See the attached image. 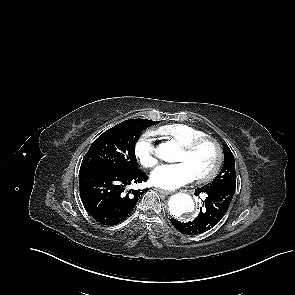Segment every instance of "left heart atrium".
Listing matches in <instances>:
<instances>
[{"mask_svg": "<svg viewBox=\"0 0 295 295\" xmlns=\"http://www.w3.org/2000/svg\"><path fill=\"white\" fill-rule=\"evenodd\" d=\"M196 175L185 162L161 165L151 174V182L161 188L176 189L192 182Z\"/></svg>", "mask_w": 295, "mask_h": 295, "instance_id": "39dd6f15", "label": "left heart atrium"}]
</instances>
